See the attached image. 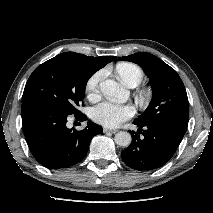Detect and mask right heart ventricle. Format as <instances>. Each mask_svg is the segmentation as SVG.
<instances>
[{"instance_id": "obj_1", "label": "right heart ventricle", "mask_w": 213, "mask_h": 213, "mask_svg": "<svg viewBox=\"0 0 213 213\" xmlns=\"http://www.w3.org/2000/svg\"><path fill=\"white\" fill-rule=\"evenodd\" d=\"M116 73L119 79L129 87H135L143 79V71L141 68L130 62L118 63Z\"/></svg>"}]
</instances>
